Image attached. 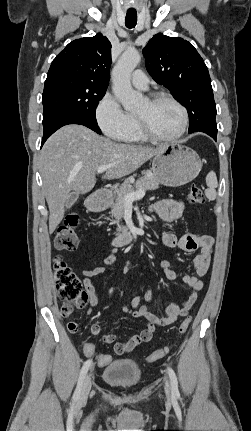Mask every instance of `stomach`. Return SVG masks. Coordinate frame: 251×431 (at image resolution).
<instances>
[{"label":"stomach","instance_id":"stomach-1","mask_svg":"<svg viewBox=\"0 0 251 431\" xmlns=\"http://www.w3.org/2000/svg\"><path fill=\"white\" fill-rule=\"evenodd\" d=\"M202 168V163L195 151L180 144L166 145L155 155L152 162L154 177L168 187H178L194 180ZM86 207L94 212L109 207V198L99 193L86 200Z\"/></svg>","mask_w":251,"mask_h":431}]
</instances>
